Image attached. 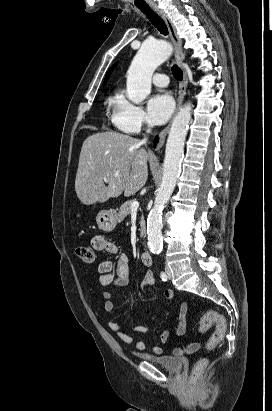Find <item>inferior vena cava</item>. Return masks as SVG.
Listing matches in <instances>:
<instances>
[{"label":"inferior vena cava","instance_id":"obj_1","mask_svg":"<svg viewBox=\"0 0 272 411\" xmlns=\"http://www.w3.org/2000/svg\"><path fill=\"white\" fill-rule=\"evenodd\" d=\"M152 127H153L152 124H148V130H147L148 133L151 131V128H152ZM146 141H147V138H144V139L141 141V143L144 144V143H146Z\"/></svg>","mask_w":272,"mask_h":411}]
</instances>
